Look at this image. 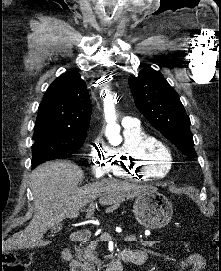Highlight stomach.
Returning a JSON list of instances; mask_svg holds the SVG:
<instances>
[{
    "mask_svg": "<svg viewBox=\"0 0 221 271\" xmlns=\"http://www.w3.org/2000/svg\"><path fill=\"white\" fill-rule=\"evenodd\" d=\"M133 213L140 225L149 229H159L165 227L172 219L173 207L171 201L162 193H152L144 191L137 195Z\"/></svg>",
    "mask_w": 221,
    "mask_h": 271,
    "instance_id": "1",
    "label": "stomach"
}]
</instances>
